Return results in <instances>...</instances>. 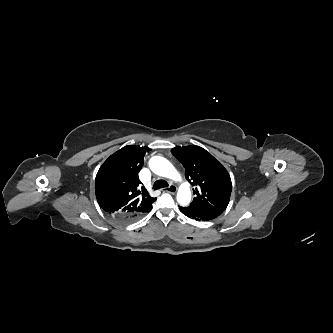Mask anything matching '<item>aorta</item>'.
<instances>
[{"label":"aorta","mask_w":333,"mask_h":333,"mask_svg":"<svg viewBox=\"0 0 333 333\" xmlns=\"http://www.w3.org/2000/svg\"><path fill=\"white\" fill-rule=\"evenodd\" d=\"M150 169L157 175L172 179L174 181H182V176L175 167L164 157L154 156L149 161ZM177 201L181 206H186L191 201V191L188 182H183L177 193Z\"/></svg>","instance_id":"aorta-1"}]
</instances>
